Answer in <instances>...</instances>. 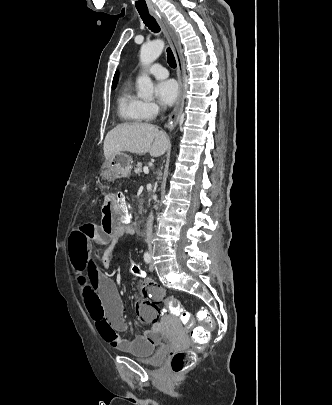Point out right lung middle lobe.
<instances>
[{
  "label": "right lung middle lobe",
  "instance_id": "right-lung-middle-lobe-1",
  "mask_svg": "<svg viewBox=\"0 0 332 405\" xmlns=\"http://www.w3.org/2000/svg\"><path fill=\"white\" fill-rule=\"evenodd\" d=\"M116 87V85L115 86H112V88L114 89Z\"/></svg>",
  "mask_w": 332,
  "mask_h": 405
}]
</instances>
